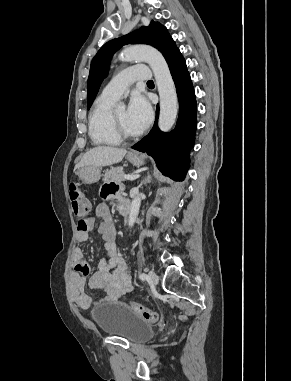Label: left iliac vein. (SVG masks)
<instances>
[{"label": "left iliac vein", "mask_w": 291, "mask_h": 381, "mask_svg": "<svg viewBox=\"0 0 291 381\" xmlns=\"http://www.w3.org/2000/svg\"><path fill=\"white\" fill-rule=\"evenodd\" d=\"M148 281L151 283V285L157 284V275L153 270L148 272Z\"/></svg>", "instance_id": "1"}]
</instances>
